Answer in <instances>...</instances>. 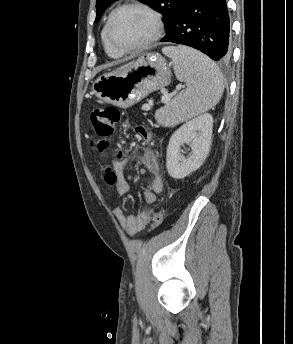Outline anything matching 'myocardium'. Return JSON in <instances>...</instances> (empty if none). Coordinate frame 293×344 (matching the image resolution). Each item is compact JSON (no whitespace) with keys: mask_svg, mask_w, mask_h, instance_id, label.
Instances as JSON below:
<instances>
[{"mask_svg":"<svg viewBox=\"0 0 293 344\" xmlns=\"http://www.w3.org/2000/svg\"><path fill=\"white\" fill-rule=\"evenodd\" d=\"M129 8L139 9V10L145 12L146 14H148L152 20L153 29H152V33L149 35V37L146 40H144L143 42H141L137 45H134V46H130V47H120V46L116 45L112 39L111 27H112V23H113L116 15L119 12H121L125 9H129ZM162 33H163V21H162V17L160 15V13L157 12L151 6H149L145 3H142L140 1H128V2H125L121 5H119L118 7H116L110 13L108 20H107V23H106V26H105V36H106V40H107L108 45L114 51H116L120 54H127V53H133V52H138V51L144 50V49L148 48L149 46H151L153 43H155L161 37Z\"/></svg>","mask_w":293,"mask_h":344,"instance_id":"obj_1","label":"myocardium"}]
</instances>
